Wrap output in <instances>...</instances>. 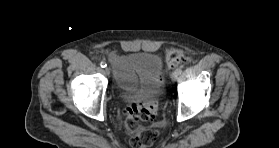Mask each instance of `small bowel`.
Instances as JSON below:
<instances>
[{
    "label": "small bowel",
    "mask_w": 279,
    "mask_h": 148,
    "mask_svg": "<svg viewBox=\"0 0 279 148\" xmlns=\"http://www.w3.org/2000/svg\"><path fill=\"white\" fill-rule=\"evenodd\" d=\"M118 83L126 88H133L136 83L135 73L127 66L126 62L118 56L112 57Z\"/></svg>",
    "instance_id": "small-bowel-1"
}]
</instances>
